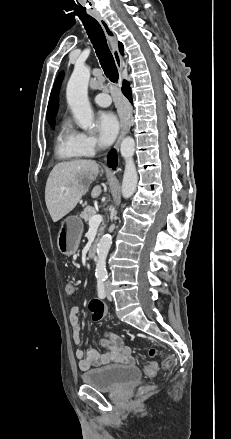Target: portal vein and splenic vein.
<instances>
[{
  "label": "portal vein and splenic vein",
  "mask_w": 231,
  "mask_h": 439,
  "mask_svg": "<svg viewBox=\"0 0 231 439\" xmlns=\"http://www.w3.org/2000/svg\"><path fill=\"white\" fill-rule=\"evenodd\" d=\"M102 220H103V217L100 214L94 215L89 220V226L90 227H98L100 225V223L102 222Z\"/></svg>",
  "instance_id": "18ae733b"
}]
</instances>
